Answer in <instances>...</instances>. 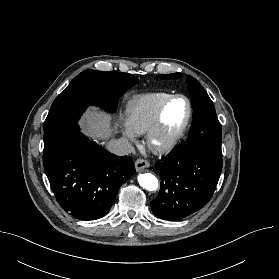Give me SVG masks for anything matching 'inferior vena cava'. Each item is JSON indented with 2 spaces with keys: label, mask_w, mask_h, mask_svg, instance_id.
Listing matches in <instances>:
<instances>
[{
  "label": "inferior vena cava",
  "mask_w": 279,
  "mask_h": 279,
  "mask_svg": "<svg viewBox=\"0 0 279 279\" xmlns=\"http://www.w3.org/2000/svg\"><path fill=\"white\" fill-rule=\"evenodd\" d=\"M106 147L109 152L119 156L134 153V147L125 138L113 140L109 142Z\"/></svg>",
  "instance_id": "602c4592"
}]
</instances>
